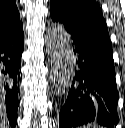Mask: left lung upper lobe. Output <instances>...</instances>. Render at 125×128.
Listing matches in <instances>:
<instances>
[{
  "mask_svg": "<svg viewBox=\"0 0 125 128\" xmlns=\"http://www.w3.org/2000/svg\"><path fill=\"white\" fill-rule=\"evenodd\" d=\"M53 21L71 36L112 47L102 10L96 0H50Z\"/></svg>",
  "mask_w": 125,
  "mask_h": 128,
  "instance_id": "1",
  "label": "left lung upper lobe"
}]
</instances>
